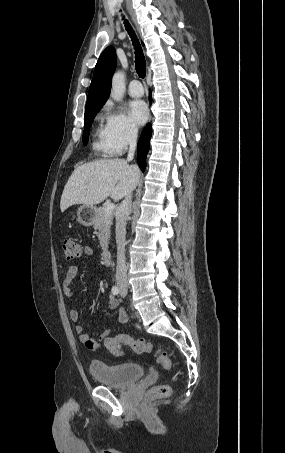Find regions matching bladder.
Here are the masks:
<instances>
[{"label":"bladder","instance_id":"31cf9c89","mask_svg":"<svg viewBox=\"0 0 285 453\" xmlns=\"http://www.w3.org/2000/svg\"><path fill=\"white\" fill-rule=\"evenodd\" d=\"M92 377L102 385L114 388L127 387L139 380L144 370L138 363L108 365L94 361L89 366Z\"/></svg>","mask_w":285,"mask_h":453}]
</instances>
